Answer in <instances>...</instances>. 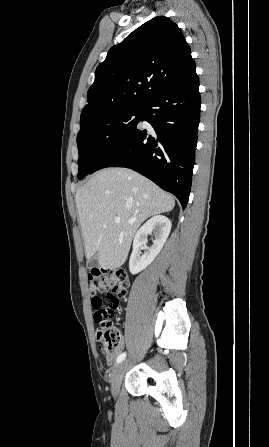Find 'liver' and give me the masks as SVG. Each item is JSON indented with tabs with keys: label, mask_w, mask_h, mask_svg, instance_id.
Wrapping results in <instances>:
<instances>
[{
	"label": "liver",
	"mask_w": 269,
	"mask_h": 447,
	"mask_svg": "<svg viewBox=\"0 0 269 447\" xmlns=\"http://www.w3.org/2000/svg\"><path fill=\"white\" fill-rule=\"evenodd\" d=\"M76 206L87 261L97 257L100 267L123 265L131 241L142 222L171 212L175 200L156 184L127 168H105L76 190ZM121 218L116 224L114 218ZM128 220H136L128 224Z\"/></svg>",
	"instance_id": "6515ba94"
}]
</instances>
